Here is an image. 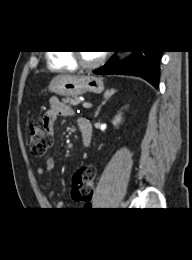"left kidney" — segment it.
<instances>
[{"label":"left kidney","mask_w":192,"mask_h":260,"mask_svg":"<svg viewBox=\"0 0 192 260\" xmlns=\"http://www.w3.org/2000/svg\"><path fill=\"white\" fill-rule=\"evenodd\" d=\"M121 122V114L119 113L116 117H115V119L113 120V125L114 126H118V124Z\"/></svg>","instance_id":"1"}]
</instances>
